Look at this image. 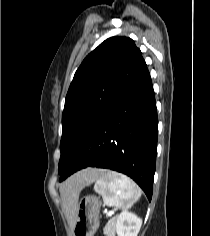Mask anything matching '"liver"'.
<instances>
[{
    "label": "liver",
    "mask_w": 210,
    "mask_h": 236,
    "mask_svg": "<svg viewBox=\"0 0 210 236\" xmlns=\"http://www.w3.org/2000/svg\"><path fill=\"white\" fill-rule=\"evenodd\" d=\"M103 172L104 170L101 169L88 168L72 175L61 185L60 194L63 208L72 227H74L77 218L80 192L85 186L96 181Z\"/></svg>",
    "instance_id": "1"
}]
</instances>
